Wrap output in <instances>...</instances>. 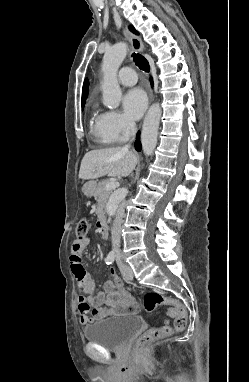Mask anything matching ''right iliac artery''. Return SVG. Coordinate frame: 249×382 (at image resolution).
I'll use <instances>...</instances> for the list:
<instances>
[{
    "mask_svg": "<svg viewBox=\"0 0 249 382\" xmlns=\"http://www.w3.org/2000/svg\"><path fill=\"white\" fill-rule=\"evenodd\" d=\"M114 258H115L114 252L113 251L109 252L107 257L105 258L106 264H111L114 261Z\"/></svg>",
    "mask_w": 249,
    "mask_h": 382,
    "instance_id": "82829eb1",
    "label": "right iliac artery"
}]
</instances>
